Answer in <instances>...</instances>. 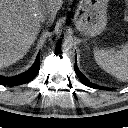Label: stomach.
Instances as JSON below:
<instances>
[{"label":"stomach","mask_w":128,"mask_h":128,"mask_svg":"<svg viewBox=\"0 0 128 128\" xmlns=\"http://www.w3.org/2000/svg\"><path fill=\"white\" fill-rule=\"evenodd\" d=\"M108 1L80 0L75 13V25L83 36L93 37L105 30Z\"/></svg>","instance_id":"0dacf381"}]
</instances>
